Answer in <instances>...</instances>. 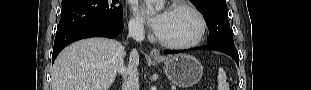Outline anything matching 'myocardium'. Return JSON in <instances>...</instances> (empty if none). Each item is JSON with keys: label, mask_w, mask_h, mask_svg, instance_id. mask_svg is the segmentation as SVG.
<instances>
[{"label": "myocardium", "mask_w": 311, "mask_h": 90, "mask_svg": "<svg viewBox=\"0 0 311 90\" xmlns=\"http://www.w3.org/2000/svg\"><path fill=\"white\" fill-rule=\"evenodd\" d=\"M175 9L186 10L195 16V18L198 22V26H199L196 36L192 40L187 41V42H171V41H168V40L161 38L157 34L158 42L167 48L177 49V50L195 47L196 45H198L202 41V39L204 38V35L206 33V21H205L204 16L194 6H192L188 3H183V2L175 3L170 7V10H175Z\"/></svg>", "instance_id": "myocardium-1"}]
</instances>
